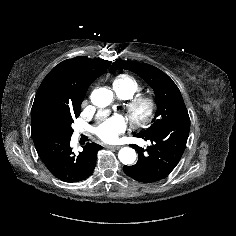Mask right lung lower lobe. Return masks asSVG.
Listing matches in <instances>:
<instances>
[{
  "label": "right lung lower lobe",
  "instance_id": "98d812e1",
  "mask_svg": "<svg viewBox=\"0 0 236 236\" xmlns=\"http://www.w3.org/2000/svg\"><path fill=\"white\" fill-rule=\"evenodd\" d=\"M37 153L53 176L64 182H79L88 178L96 165L97 152L102 147L87 143L83 151L74 154L71 137L46 132H33Z\"/></svg>",
  "mask_w": 236,
  "mask_h": 236
}]
</instances>
